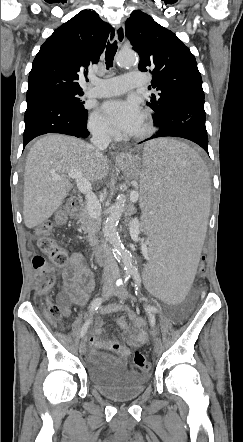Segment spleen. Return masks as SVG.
Here are the masks:
<instances>
[{
    "instance_id": "1",
    "label": "spleen",
    "mask_w": 243,
    "mask_h": 442,
    "mask_svg": "<svg viewBox=\"0 0 243 442\" xmlns=\"http://www.w3.org/2000/svg\"><path fill=\"white\" fill-rule=\"evenodd\" d=\"M146 244L142 291L164 307H183L193 286L209 215V179L198 153L171 139L147 143L139 155Z\"/></svg>"
}]
</instances>
